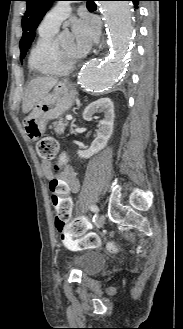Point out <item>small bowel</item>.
Returning a JSON list of instances; mask_svg holds the SVG:
<instances>
[{"instance_id":"c3829d8e","label":"small bowel","mask_w":183,"mask_h":329,"mask_svg":"<svg viewBox=\"0 0 183 329\" xmlns=\"http://www.w3.org/2000/svg\"><path fill=\"white\" fill-rule=\"evenodd\" d=\"M43 171L48 177L45 184L51 199V207L54 208V218H75V208L78 207L76 193L79 190V182L73 171L66 168L58 178H54L55 169L50 163H43ZM65 186V187H64ZM90 224V222H86ZM78 240L74 238L63 239V245L69 250H77Z\"/></svg>"}]
</instances>
